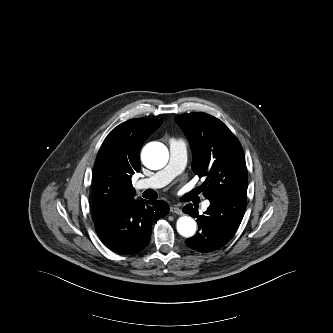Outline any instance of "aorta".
Here are the masks:
<instances>
[{"instance_id": "1", "label": "aorta", "mask_w": 333, "mask_h": 333, "mask_svg": "<svg viewBox=\"0 0 333 333\" xmlns=\"http://www.w3.org/2000/svg\"><path fill=\"white\" fill-rule=\"evenodd\" d=\"M141 159L147 168L158 170L167 164L169 153L162 143L151 142L144 147ZM196 228V222L190 216H182L177 220V231L184 237H192L196 232Z\"/></svg>"}]
</instances>
